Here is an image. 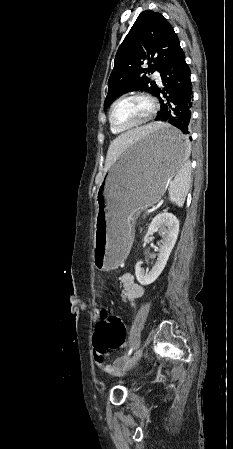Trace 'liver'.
Instances as JSON below:
<instances>
[{"mask_svg": "<svg viewBox=\"0 0 233 449\" xmlns=\"http://www.w3.org/2000/svg\"><path fill=\"white\" fill-rule=\"evenodd\" d=\"M162 123L154 122L142 127L129 130L125 133H119L108 149L106 157V170H108L116 160L135 142H140L142 136L158 129Z\"/></svg>", "mask_w": 233, "mask_h": 449, "instance_id": "6515ba94", "label": "liver"}]
</instances>
